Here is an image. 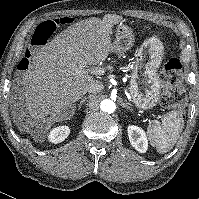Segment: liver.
<instances>
[{
    "instance_id": "6515ba94",
    "label": "liver",
    "mask_w": 199,
    "mask_h": 199,
    "mask_svg": "<svg viewBox=\"0 0 199 199\" xmlns=\"http://www.w3.org/2000/svg\"><path fill=\"white\" fill-rule=\"evenodd\" d=\"M121 19L122 16L106 14L103 19L92 17L77 22L31 58L13 97L25 99V112L30 118L24 119L23 114L16 117V122L33 133L35 140L49 129L51 122L64 121L73 115V104L97 81L86 67L114 52L110 31ZM48 115V124L44 126L41 122ZM38 128L40 132L36 134Z\"/></svg>"
}]
</instances>
